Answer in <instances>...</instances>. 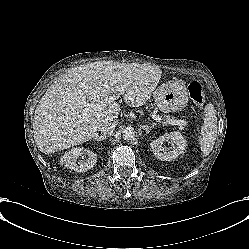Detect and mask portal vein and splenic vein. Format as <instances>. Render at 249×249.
I'll use <instances>...</instances> for the list:
<instances>
[{"label":"portal vein and splenic vein","instance_id":"18ae733b","mask_svg":"<svg viewBox=\"0 0 249 249\" xmlns=\"http://www.w3.org/2000/svg\"><path fill=\"white\" fill-rule=\"evenodd\" d=\"M113 100H114V98L110 97L109 100H108V102L110 103V101H113ZM85 107H86L85 108V112H88L90 109H97V108H99L98 105H96V104H89V103L85 104ZM153 119L156 120V121H158V122H160L162 120L159 116H153ZM168 123L171 124V125L182 126V125L186 124V121L185 120H181V119L180 120L179 119L178 120L177 119H171V120L168 121Z\"/></svg>","mask_w":249,"mask_h":249}]
</instances>
